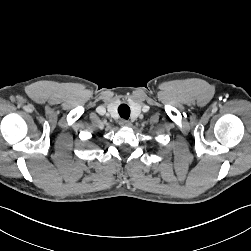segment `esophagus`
I'll list each match as a JSON object with an SVG mask.
<instances>
[{"instance_id":"esophagus-1","label":"esophagus","mask_w":251,"mask_h":251,"mask_svg":"<svg viewBox=\"0 0 251 251\" xmlns=\"http://www.w3.org/2000/svg\"><path fill=\"white\" fill-rule=\"evenodd\" d=\"M119 124H120L122 127H129V126H131V122L128 121V120H125V119L121 120V121L119 122Z\"/></svg>"}]
</instances>
